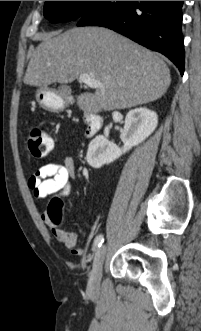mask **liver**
I'll return each mask as SVG.
<instances>
[{
    "instance_id": "obj_1",
    "label": "liver",
    "mask_w": 201,
    "mask_h": 331,
    "mask_svg": "<svg viewBox=\"0 0 201 331\" xmlns=\"http://www.w3.org/2000/svg\"><path fill=\"white\" fill-rule=\"evenodd\" d=\"M86 73L104 85L77 97L87 113L127 109L153 102L167 91L168 66L153 52L105 28L81 27L43 37L24 83L47 87L71 83Z\"/></svg>"
}]
</instances>
